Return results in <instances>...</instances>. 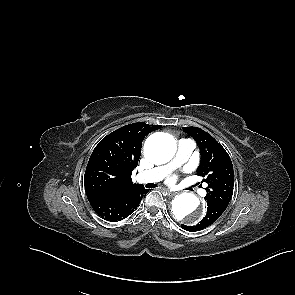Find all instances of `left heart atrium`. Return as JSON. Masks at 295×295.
I'll return each instance as SVG.
<instances>
[{
	"instance_id": "obj_1",
	"label": "left heart atrium",
	"mask_w": 295,
	"mask_h": 295,
	"mask_svg": "<svg viewBox=\"0 0 295 295\" xmlns=\"http://www.w3.org/2000/svg\"><path fill=\"white\" fill-rule=\"evenodd\" d=\"M175 180H176V177H171V178L169 179V182H170V183H174Z\"/></svg>"
}]
</instances>
